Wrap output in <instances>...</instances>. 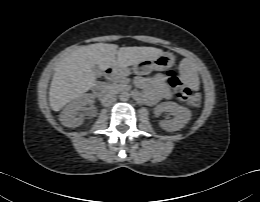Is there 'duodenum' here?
<instances>
[{
    "mask_svg": "<svg viewBox=\"0 0 260 202\" xmlns=\"http://www.w3.org/2000/svg\"><path fill=\"white\" fill-rule=\"evenodd\" d=\"M123 72L118 68H110L106 71V77L107 78H116L122 76ZM95 90H100L99 85H95Z\"/></svg>",
    "mask_w": 260,
    "mask_h": 202,
    "instance_id": "1",
    "label": "duodenum"
}]
</instances>
